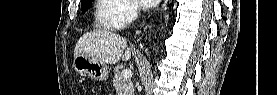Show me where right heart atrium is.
Instances as JSON below:
<instances>
[{
  "label": "right heart atrium",
  "instance_id": "1",
  "mask_svg": "<svg viewBox=\"0 0 277 95\" xmlns=\"http://www.w3.org/2000/svg\"><path fill=\"white\" fill-rule=\"evenodd\" d=\"M121 1H123V7L120 11V16L124 23L131 22L138 15V8L130 0H121Z\"/></svg>",
  "mask_w": 277,
  "mask_h": 95
}]
</instances>
